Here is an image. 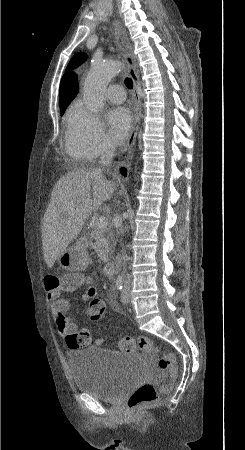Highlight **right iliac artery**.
I'll list each match as a JSON object with an SVG mask.
<instances>
[{"label":"right iliac artery","mask_w":245,"mask_h":450,"mask_svg":"<svg viewBox=\"0 0 245 450\" xmlns=\"http://www.w3.org/2000/svg\"><path fill=\"white\" fill-rule=\"evenodd\" d=\"M123 283H124L123 277H122V276H119V277L117 278V280H116V287H117L118 290H122V288H123Z\"/></svg>","instance_id":"82829eb1"}]
</instances>
